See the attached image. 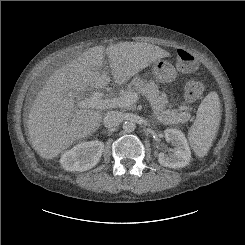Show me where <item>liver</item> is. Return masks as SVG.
<instances>
[{"label":"liver","mask_w":245,"mask_h":245,"mask_svg":"<svg viewBox=\"0 0 245 245\" xmlns=\"http://www.w3.org/2000/svg\"><path fill=\"white\" fill-rule=\"evenodd\" d=\"M105 55L114 82L121 85L170 53L143 42H119L107 48L98 45L56 70L36 96L27 120L30 143L42 158L57 157L99 128L102 111L79 107L77 98L89 87L103 88L110 83L102 71Z\"/></svg>","instance_id":"liver-1"}]
</instances>
